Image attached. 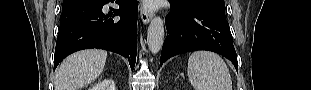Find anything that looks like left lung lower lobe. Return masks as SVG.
Listing matches in <instances>:
<instances>
[{
  "instance_id": "0a47b994",
  "label": "left lung lower lobe",
  "mask_w": 311,
  "mask_h": 90,
  "mask_svg": "<svg viewBox=\"0 0 311 90\" xmlns=\"http://www.w3.org/2000/svg\"><path fill=\"white\" fill-rule=\"evenodd\" d=\"M170 5L171 12L166 16L167 37L162 47L160 65L178 54L208 50L228 58L238 71L237 55L225 18Z\"/></svg>"
}]
</instances>
